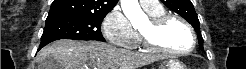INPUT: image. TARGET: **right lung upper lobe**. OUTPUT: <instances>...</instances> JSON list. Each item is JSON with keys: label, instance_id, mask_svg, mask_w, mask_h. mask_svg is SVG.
Returning <instances> with one entry per match:
<instances>
[{"label": "right lung upper lobe", "instance_id": "cb5924a9", "mask_svg": "<svg viewBox=\"0 0 246 69\" xmlns=\"http://www.w3.org/2000/svg\"><path fill=\"white\" fill-rule=\"evenodd\" d=\"M118 0H54L47 18L59 16H106Z\"/></svg>", "mask_w": 246, "mask_h": 69}]
</instances>
